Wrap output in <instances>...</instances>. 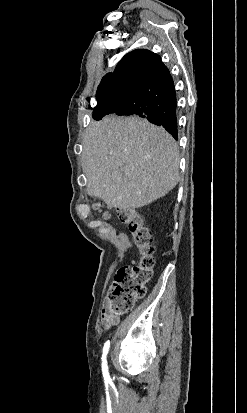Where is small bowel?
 <instances>
[{"instance_id":"1","label":"small bowel","mask_w":247,"mask_h":413,"mask_svg":"<svg viewBox=\"0 0 247 413\" xmlns=\"http://www.w3.org/2000/svg\"><path fill=\"white\" fill-rule=\"evenodd\" d=\"M119 322L120 318L118 316L111 314L106 307L103 308L101 313V326L103 329L108 330Z\"/></svg>"}]
</instances>
